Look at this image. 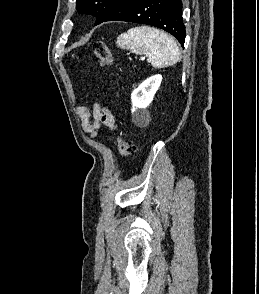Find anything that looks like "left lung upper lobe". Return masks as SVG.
Returning <instances> with one entry per match:
<instances>
[{"mask_svg":"<svg viewBox=\"0 0 259 294\" xmlns=\"http://www.w3.org/2000/svg\"><path fill=\"white\" fill-rule=\"evenodd\" d=\"M124 0H77L76 9L79 13L90 14L97 18L95 25L102 23L109 13Z\"/></svg>","mask_w":259,"mask_h":294,"instance_id":"5c2ea615","label":"left lung upper lobe"}]
</instances>
